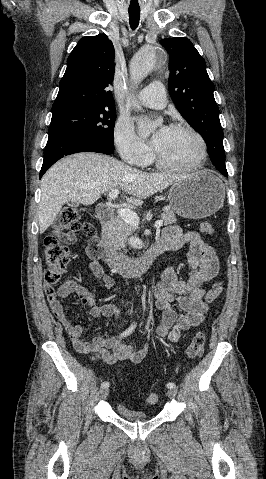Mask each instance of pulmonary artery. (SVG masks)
I'll use <instances>...</instances> for the list:
<instances>
[{
	"mask_svg": "<svg viewBox=\"0 0 266 479\" xmlns=\"http://www.w3.org/2000/svg\"><path fill=\"white\" fill-rule=\"evenodd\" d=\"M138 98L142 105L149 108L162 109L167 104L166 92L161 82L149 84L141 91Z\"/></svg>",
	"mask_w": 266,
	"mask_h": 479,
	"instance_id": "obj_1",
	"label": "pulmonary artery"
}]
</instances>
